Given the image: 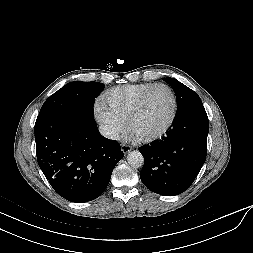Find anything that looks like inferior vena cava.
Returning a JSON list of instances; mask_svg holds the SVG:
<instances>
[{"label": "inferior vena cava", "instance_id": "602c4592", "mask_svg": "<svg viewBox=\"0 0 253 253\" xmlns=\"http://www.w3.org/2000/svg\"><path fill=\"white\" fill-rule=\"evenodd\" d=\"M99 132L102 136L112 139V140H118L119 139V133L116 129L112 128L109 125H101L99 126Z\"/></svg>", "mask_w": 253, "mask_h": 253}]
</instances>
